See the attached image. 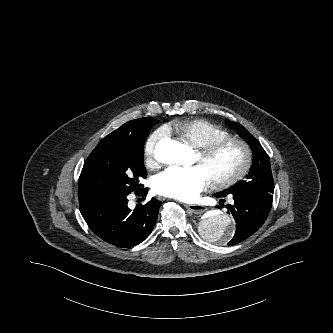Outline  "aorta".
I'll return each instance as SVG.
<instances>
[{"label":"aorta","mask_w":333,"mask_h":333,"mask_svg":"<svg viewBox=\"0 0 333 333\" xmlns=\"http://www.w3.org/2000/svg\"><path fill=\"white\" fill-rule=\"evenodd\" d=\"M156 159L165 164H182L189 156L187 146L171 139L160 141L155 148ZM235 231L232 218L221 211H211L200 224V233L206 240L227 242Z\"/></svg>","instance_id":"aorta-1"}]
</instances>
